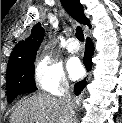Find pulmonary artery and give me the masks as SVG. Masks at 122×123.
I'll return each instance as SVG.
<instances>
[{
  "instance_id": "1",
  "label": "pulmonary artery",
  "mask_w": 122,
  "mask_h": 123,
  "mask_svg": "<svg viewBox=\"0 0 122 123\" xmlns=\"http://www.w3.org/2000/svg\"><path fill=\"white\" fill-rule=\"evenodd\" d=\"M79 43L75 38H69L67 40L66 43V49L70 52V53H76L79 51Z\"/></svg>"
}]
</instances>
